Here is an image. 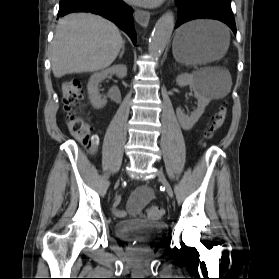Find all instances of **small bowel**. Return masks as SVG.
I'll list each match as a JSON object with an SVG mask.
<instances>
[{
	"mask_svg": "<svg viewBox=\"0 0 279 279\" xmlns=\"http://www.w3.org/2000/svg\"><path fill=\"white\" fill-rule=\"evenodd\" d=\"M153 192L147 186L137 188L128 201L127 211L119 208L120 199L117 198L113 204V213L116 217L122 218L128 212L131 215H137L141 209L152 199Z\"/></svg>",
	"mask_w": 279,
	"mask_h": 279,
	"instance_id": "small-bowel-1",
	"label": "small bowel"
}]
</instances>
